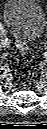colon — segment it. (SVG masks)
Wrapping results in <instances>:
<instances>
[{"instance_id":"5ec220e1","label":"colon","mask_w":47,"mask_h":129,"mask_svg":"<svg viewBox=\"0 0 47 129\" xmlns=\"http://www.w3.org/2000/svg\"><path fill=\"white\" fill-rule=\"evenodd\" d=\"M17 46H18V48L20 49V51L22 53H25L24 47H23V45L20 42L17 43Z\"/></svg>"}]
</instances>
